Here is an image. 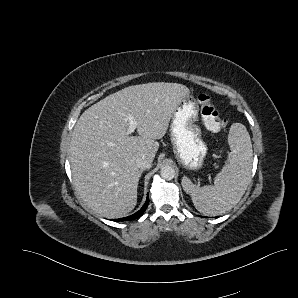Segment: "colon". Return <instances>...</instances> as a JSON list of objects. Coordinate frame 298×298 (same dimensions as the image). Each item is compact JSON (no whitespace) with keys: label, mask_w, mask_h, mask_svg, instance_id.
I'll use <instances>...</instances> for the list:
<instances>
[{"label":"colon","mask_w":298,"mask_h":298,"mask_svg":"<svg viewBox=\"0 0 298 298\" xmlns=\"http://www.w3.org/2000/svg\"><path fill=\"white\" fill-rule=\"evenodd\" d=\"M198 102L200 105L201 119L208 130L217 132L227 126V120L220 115L208 94L201 93L198 96Z\"/></svg>","instance_id":"obj_1"}]
</instances>
